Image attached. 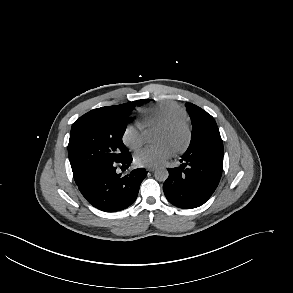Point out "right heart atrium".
I'll list each match as a JSON object with an SVG mask.
<instances>
[{"label":"right heart atrium","instance_id":"obj_1","mask_svg":"<svg viewBox=\"0 0 293 293\" xmlns=\"http://www.w3.org/2000/svg\"><path fill=\"white\" fill-rule=\"evenodd\" d=\"M144 141L143 132L140 127L127 125L122 133V142L130 150L138 149Z\"/></svg>","mask_w":293,"mask_h":293}]
</instances>
